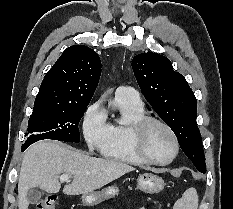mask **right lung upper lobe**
I'll return each mask as SVG.
<instances>
[{"mask_svg":"<svg viewBox=\"0 0 233 209\" xmlns=\"http://www.w3.org/2000/svg\"><path fill=\"white\" fill-rule=\"evenodd\" d=\"M101 75L98 54L84 45L67 48L46 73L33 109L67 110L89 104Z\"/></svg>","mask_w":233,"mask_h":209,"instance_id":"obj_1","label":"right lung upper lobe"}]
</instances>
